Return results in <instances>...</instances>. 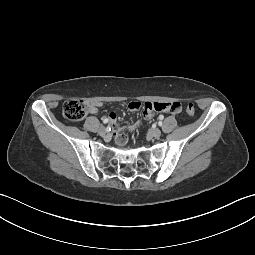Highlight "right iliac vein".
<instances>
[{
	"instance_id": "right-iliac-vein-1",
	"label": "right iliac vein",
	"mask_w": 255,
	"mask_h": 255,
	"mask_svg": "<svg viewBox=\"0 0 255 255\" xmlns=\"http://www.w3.org/2000/svg\"><path fill=\"white\" fill-rule=\"evenodd\" d=\"M98 133L99 135L103 136L107 133V129L104 126H102L99 128Z\"/></svg>"
}]
</instances>
